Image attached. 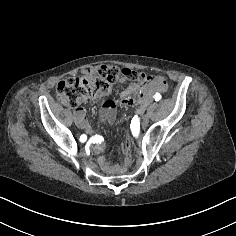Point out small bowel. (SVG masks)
<instances>
[{
    "instance_id": "small-bowel-1",
    "label": "small bowel",
    "mask_w": 236,
    "mask_h": 236,
    "mask_svg": "<svg viewBox=\"0 0 236 236\" xmlns=\"http://www.w3.org/2000/svg\"><path fill=\"white\" fill-rule=\"evenodd\" d=\"M144 75L143 73H140ZM126 77L121 76L120 82H124ZM165 85L159 82L158 79L151 81H139L130 83L121 93L118 101L106 100L103 103L100 120L104 123H112L115 119L116 107L122 106H133L138 105L140 112L150 103L152 95L156 91H163ZM74 120L78 127L84 129L86 132L93 134V130L86 118V112L83 107L77 108L74 112ZM91 147L94 153L101 154L105 150V144L103 138L99 135H92ZM98 164L100 167L111 175L121 174L124 169V163L115 164L109 162L104 156L98 158Z\"/></svg>"
}]
</instances>
